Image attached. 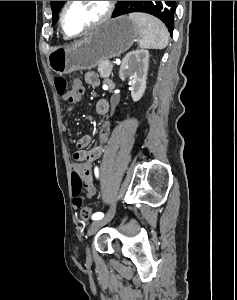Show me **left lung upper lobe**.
<instances>
[{"label":"left lung upper lobe","instance_id":"obj_1","mask_svg":"<svg viewBox=\"0 0 237 300\" xmlns=\"http://www.w3.org/2000/svg\"><path fill=\"white\" fill-rule=\"evenodd\" d=\"M65 1H51L53 24L57 21V15ZM176 1H118L114 16H120L131 12H145L161 19L172 34Z\"/></svg>","mask_w":237,"mask_h":300}]
</instances>
